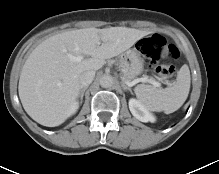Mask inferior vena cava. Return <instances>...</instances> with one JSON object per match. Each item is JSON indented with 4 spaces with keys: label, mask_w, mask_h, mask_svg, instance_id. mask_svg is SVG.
<instances>
[{
    "label": "inferior vena cava",
    "mask_w": 219,
    "mask_h": 174,
    "mask_svg": "<svg viewBox=\"0 0 219 174\" xmlns=\"http://www.w3.org/2000/svg\"><path fill=\"white\" fill-rule=\"evenodd\" d=\"M94 77H95V71H93V70L86 71V72L82 73L81 76H80L81 86L85 87V86H88L89 84H91Z\"/></svg>",
    "instance_id": "inferior-vena-cava-1"
}]
</instances>
